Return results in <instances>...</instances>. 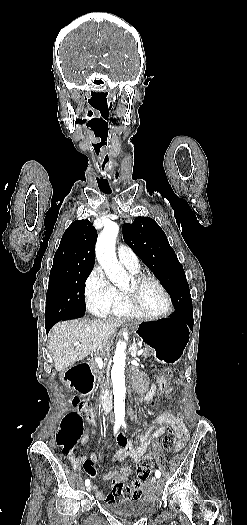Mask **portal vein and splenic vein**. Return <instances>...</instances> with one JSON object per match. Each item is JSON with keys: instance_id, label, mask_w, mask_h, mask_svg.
<instances>
[{"instance_id": "portal-vein-and-splenic-vein-1", "label": "portal vein and splenic vein", "mask_w": 247, "mask_h": 525, "mask_svg": "<svg viewBox=\"0 0 247 525\" xmlns=\"http://www.w3.org/2000/svg\"><path fill=\"white\" fill-rule=\"evenodd\" d=\"M74 345H79V343H74ZM138 356H141V353H145L144 347H141V350H137ZM104 358L102 356L94 355V363H98V366H100V370H102V373H105L104 368Z\"/></svg>"}]
</instances>
